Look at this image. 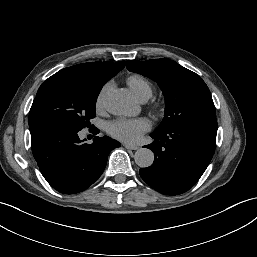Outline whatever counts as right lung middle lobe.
Wrapping results in <instances>:
<instances>
[{
  "label": "right lung middle lobe",
  "mask_w": 257,
  "mask_h": 257,
  "mask_svg": "<svg viewBox=\"0 0 257 257\" xmlns=\"http://www.w3.org/2000/svg\"><path fill=\"white\" fill-rule=\"evenodd\" d=\"M103 85L60 70L40 86L29 112V126L46 125L74 131L89 127Z\"/></svg>",
  "instance_id": "dd1d6c3e"
}]
</instances>
